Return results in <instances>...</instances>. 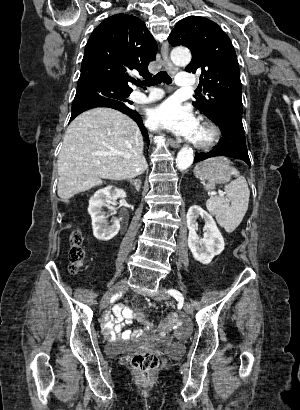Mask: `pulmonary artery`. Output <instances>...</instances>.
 Returning a JSON list of instances; mask_svg holds the SVG:
<instances>
[{"instance_id":"e3ab8cb5","label":"pulmonary artery","mask_w":300,"mask_h":410,"mask_svg":"<svg viewBox=\"0 0 300 410\" xmlns=\"http://www.w3.org/2000/svg\"><path fill=\"white\" fill-rule=\"evenodd\" d=\"M196 78L193 74L181 72L177 75L176 84L179 87H193L195 86ZM163 92L160 90H149L147 94L135 91L131 94L134 102L139 104H146L160 99Z\"/></svg>"}]
</instances>
